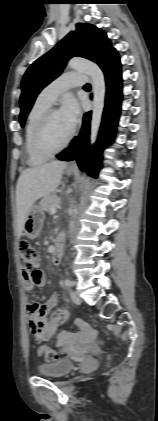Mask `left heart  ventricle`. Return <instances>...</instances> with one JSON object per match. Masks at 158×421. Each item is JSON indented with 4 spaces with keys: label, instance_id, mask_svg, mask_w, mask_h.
I'll list each match as a JSON object with an SVG mask.
<instances>
[{
    "label": "left heart ventricle",
    "instance_id": "1",
    "mask_svg": "<svg viewBox=\"0 0 158 421\" xmlns=\"http://www.w3.org/2000/svg\"><path fill=\"white\" fill-rule=\"evenodd\" d=\"M72 130L65 123L59 111L54 112L49 120L46 141L51 148L60 146Z\"/></svg>",
    "mask_w": 158,
    "mask_h": 421
}]
</instances>
